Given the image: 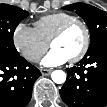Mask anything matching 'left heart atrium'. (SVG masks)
Masks as SVG:
<instances>
[{"label":"left heart atrium","mask_w":107,"mask_h":107,"mask_svg":"<svg viewBox=\"0 0 107 107\" xmlns=\"http://www.w3.org/2000/svg\"><path fill=\"white\" fill-rule=\"evenodd\" d=\"M69 58L57 49H51L42 59L41 64L45 67L59 66L67 62Z\"/></svg>","instance_id":"left-heart-atrium-1"}]
</instances>
